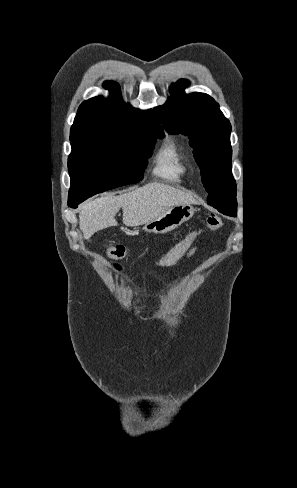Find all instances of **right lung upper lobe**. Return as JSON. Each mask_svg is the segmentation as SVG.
Wrapping results in <instances>:
<instances>
[{"mask_svg":"<svg viewBox=\"0 0 297 488\" xmlns=\"http://www.w3.org/2000/svg\"><path fill=\"white\" fill-rule=\"evenodd\" d=\"M104 87L111 92V97H94L80 105L70 130L71 145L130 136L144 128L164 136L152 110L142 112L123 102L120 86L113 81H106Z\"/></svg>","mask_w":297,"mask_h":488,"instance_id":"1","label":"right lung upper lobe"}]
</instances>
